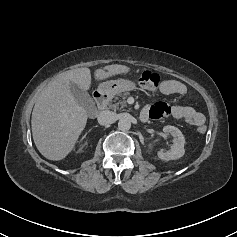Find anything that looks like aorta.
I'll use <instances>...</instances> for the list:
<instances>
[{"mask_svg": "<svg viewBox=\"0 0 237 237\" xmlns=\"http://www.w3.org/2000/svg\"><path fill=\"white\" fill-rule=\"evenodd\" d=\"M118 128L121 131H127L131 128V121L127 117H123L118 122Z\"/></svg>", "mask_w": 237, "mask_h": 237, "instance_id": "1", "label": "aorta"}]
</instances>
